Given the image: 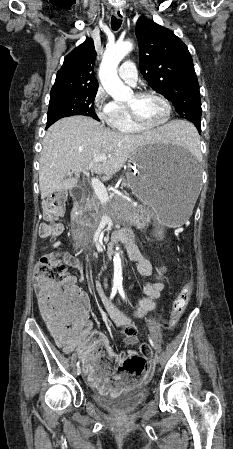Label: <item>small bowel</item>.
Wrapping results in <instances>:
<instances>
[{"instance_id":"small-bowel-1","label":"small bowel","mask_w":233,"mask_h":449,"mask_svg":"<svg viewBox=\"0 0 233 449\" xmlns=\"http://www.w3.org/2000/svg\"><path fill=\"white\" fill-rule=\"evenodd\" d=\"M62 230L63 227L58 225L57 235L61 234ZM131 256L137 260V269L142 276H152L151 264L146 259L138 257L134 253H131ZM62 263L82 270L81 261L73 255H65ZM82 280L81 278L80 282ZM94 288L98 295L104 294V288L99 283H95ZM163 289L164 281L161 276H156L154 281L147 283L143 289V297L136 304V316L142 317L151 311ZM111 308L112 320L115 326L120 329L124 344L127 346L136 345L138 343L137 327L129 317L113 307ZM90 341H93V343L89 344ZM56 342L67 353L75 350L78 352L89 383L93 387L103 390L101 392L103 399H122L124 397L122 390H136V384H144V375H109L108 367L100 363L101 357L105 356L120 362L121 355L113 350L108 339L100 333L79 334L63 340H56Z\"/></svg>"}]
</instances>
